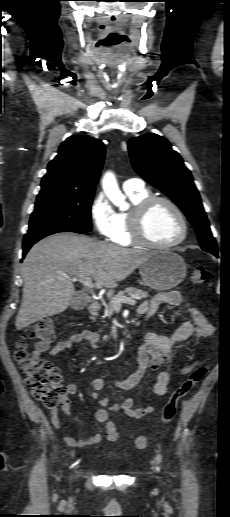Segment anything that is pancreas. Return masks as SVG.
I'll use <instances>...</instances> for the list:
<instances>
[{"label":"pancreas","mask_w":230,"mask_h":517,"mask_svg":"<svg viewBox=\"0 0 230 517\" xmlns=\"http://www.w3.org/2000/svg\"><path fill=\"white\" fill-rule=\"evenodd\" d=\"M130 294H133V295H135L137 297H140V298L148 297V292L147 291H143V290L137 289L135 287H128L124 291H120L119 293H117L110 300V302L107 305H105V312H106L107 316L110 317V316L113 315V310H114L113 301L114 300L126 297V295H130Z\"/></svg>","instance_id":"1"}]
</instances>
